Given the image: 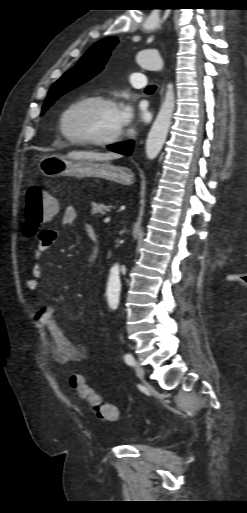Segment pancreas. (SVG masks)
Listing matches in <instances>:
<instances>
[{"label": "pancreas", "mask_w": 247, "mask_h": 513, "mask_svg": "<svg viewBox=\"0 0 247 513\" xmlns=\"http://www.w3.org/2000/svg\"><path fill=\"white\" fill-rule=\"evenodd\" d=\"M112 208H113V206L111 204L105 205L103 203H95L94 202V203H92L91 212H92V214L100 213V214L104 215V214H106V212H110Z\"/></svg>", "instance_id": "pancreas-1"}]
</instances>
